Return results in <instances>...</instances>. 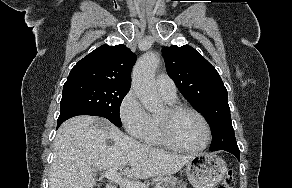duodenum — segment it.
Listing matches in <instances>:
<instances>
[{
  "label": "duodenum",
  "mask_w": 292,
  "mask_h": 188,
  "mask_svg": "<svg viewBox=\"0 0 292 188\" xmlns=\"http://www.w3.org/2000/svg\"><path fill=\"white\" fill-rule=\"evenodd\" d=\"M106 188H117V187H115L113 185H108Z\"/></svg>",
  "instance_id": "410a0bca"
}]
</instances>
